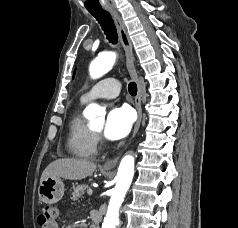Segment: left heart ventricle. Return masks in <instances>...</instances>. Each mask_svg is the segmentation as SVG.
<instances>
[{
	"instance_id": "b2bd125f",
	"label": "left heart ventricle",
	"mask_w": 238,
	"mask_h": 228,
	"mask_svg": "<svg viewBox=\"0 0 238 228\" xmlns=\"http://www.w3.org/2000/svg\"><path fill=\"white\" fill-rule=\"evenodd\" d=\"M102 127H103V123H99V124L95 125L93 128L97 131H101Z\"/></svg>"
}]
</instances>
